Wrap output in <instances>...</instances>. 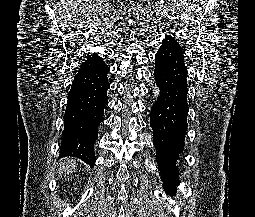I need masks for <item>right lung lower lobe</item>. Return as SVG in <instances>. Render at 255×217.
<instances>
[{
	"instance_id": "1",
	"label": "right lung lower lobe",
	"mask_w": 255,
	"mask_h": 217,
	"mask_svg": "<svg viewBox=\"0 0 255 217\" xmlns=\"http://www.w3.org/2000/svg\"><path fill=\"white\" fill-rule=\"evenodd\" d=\"M109 67L102 58L82 62L68 93L60 153L93 166L94 144L108 103Z\"/></svg>"
}]
</instances>
